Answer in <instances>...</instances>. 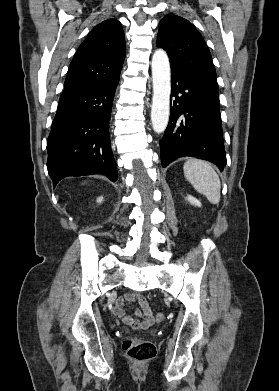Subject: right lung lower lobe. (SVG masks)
<instances>
[{"mask_svg":"<svg viewBox=\"0 0 279 391\" xmlns=\"http://www.w3.org/2000/svg\"><path fill=\"white\" fill-rule=\"evenodd\" d=\"M119 76L99 86L62 95L47 141L48 173L56 184L67 176L106 175L115 182L109 120Z\"/></svg>","mask_w":279,"mask_h":391,"instance_id":"obj_1","label":"right lung lower lobe"}]
</instances>
